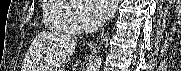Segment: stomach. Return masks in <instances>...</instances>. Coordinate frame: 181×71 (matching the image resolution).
Segmentation results:
<instances>
[{
  "instance_id": "stomach-1",
  "label": "stomach",
  "mask_w": 181,
  "mask_h": 71,
  "mask_svg": "<svg viewBox=\"0 0 181 71\" xmlns=\"http://www.w3.org/2000/svg\"><path fill=\"white\" fill-rule=\"evenodd\" d=\"M53 71H63L62 68L55 69Z\"/></svg>"
}]
</instances>
